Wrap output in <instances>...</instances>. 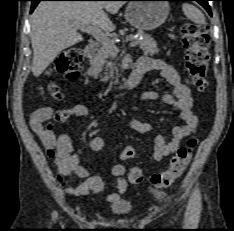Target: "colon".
<instances>
[{
	"label": "colon",
	"instance_id": "1",
	"mask_svg": "<svg viewBox=\"0 0 234 231\" xmlns=\"http://www.w3.org/2000/svg\"><path fill=\"white\" fill-rule=\"evenodd\" d=\"M182 43L185 49V60L193 85L199 90H204L206 86V77L209 62V35L203 26H197L191 23L184 24L181 27ZM82 60V52L78 47L65 49L57 58L52 71L65 74L69 79H76L79 76V64ZM49 94L56 100L62 99V93L55 85L48 88ZM197 145V139L191 137L185 145L179 147L171 158L168 167L151 176L150 182L155 193L157 190L170 187L187 168L194 149ZM136 156L135 149L126 147L120 154V159L126 162L132 161ZM128 179L133 184L141 183L144 174L141 168L132 167L128 172Z\"/></svg>",
	"mask_w": 234,
	"mask_h": 231
}]
</instances>
